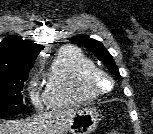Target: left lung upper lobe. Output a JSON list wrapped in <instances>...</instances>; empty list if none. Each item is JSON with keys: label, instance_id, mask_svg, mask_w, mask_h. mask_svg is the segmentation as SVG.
I'll list each match as a JSON object with an SVG mask.
<instances>
[{"label": "left lung upper lobe", "instance_id": "5c2ea615", "mask_svg": "<svg viewBox=\"0 0 153 134\" xmlns=\"http://www.w3.org/2000/svg\"><path fill=\"white\" fill-rule=\"evenodd\" d=\"M73 43L78 44L79 46H84L89 49L97 58H99L108 69L119 75V71L116 67V64L111 56V54L105 49L102 43L86 37L85 35H77L69 39Z\"/></svg>", "mask_w": 153, "mask_h": 134}]
</instances>
